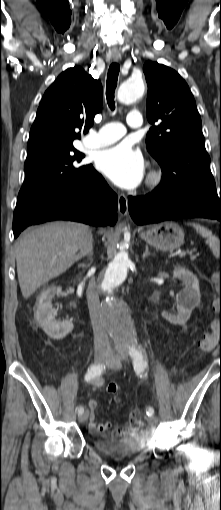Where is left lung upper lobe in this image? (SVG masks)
Segmentation results:
<instances>
[{
    "label": "left lung upper lobe",
    "instance_id": "1",
    "mask_svg": "<svg viewBox=\"0 0 221 510\" xmlns=\"http://www.w3.org/2000/svg\"><path fill=\"white\" fill-rule=\"evenodd\" d=\"M148 95L147 118L153 126L146 136L149 153L158 161L162 193L217 192L205 149L201 118L188 85L173 69L148 61L143 66Z\"/></svg>",
    "mask_w": 221,
    "mask_h": 510
}]
</instances>
